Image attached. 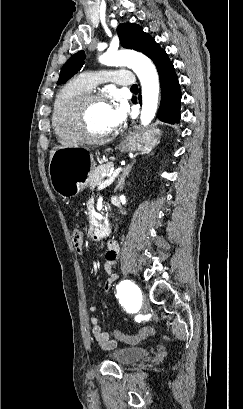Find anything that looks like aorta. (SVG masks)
Returning <instances> with one entry per match:
<instances>
[{
    "mask_svg": "<svg viewBox=\"0 0 243 409\" xmlns=\"http://www.w3.org/2000/svg\"><path fill=\"white\" fill-rule=\"evenodd\" d=\"M107 66H128L138 76L142 87V125H148L154 118L159 97V78L152 61L145 55L132 51H108L99 58Z\"/></svg>",
    "mask_w": 243,
    "mask_h": 409,
    "instance_id": "1",
    "label": "aorta"
}]
</instances>
